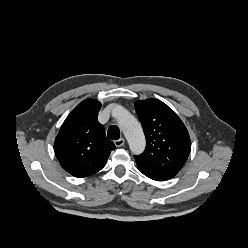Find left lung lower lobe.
<instances>
[{
  "instance_id": "1",
  "label": "left lung lower lobe",
  "mask_w": 248,
  "mask_h": 248,
  "mask_svg": "<svg viewBox=\"0 0 248 248\" xmlns=\"http://www.w3.org/2000/svg\"><path fill=\"white\" fill-rule=\"evenodd\" d=\"M138 169L139 171L146 175L147 177L156 180V181H165V180H169L171 178H173L174 176L166 174V173H162V172H158V171H154L151 169H148L142 165H140L139 163H137Z\"/></svg>"
}]
</instances>
